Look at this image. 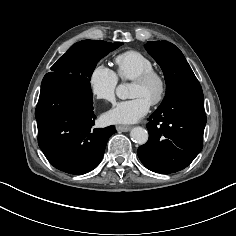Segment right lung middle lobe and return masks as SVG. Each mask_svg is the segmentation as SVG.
I'll return each instance as SVG.
<instances>
[{
  "label": "right lung middle lobe",
  "instance_id": "1",
  "mask_svg": "<svg viewBox=\"0 0 236 236\" xmlns=\"http://www.w3.org/2000/svg\"><path fill=\"white\" fill-rule=\"evenodd\" d=\"M122 44L97 40L80 41L71 46L51 67L52 72L46 75L67 77L91 88L89 79L98 61Z\"/></svg>",
  "mask_w": 236,
  "mask_h": 236
}]
</instances>
